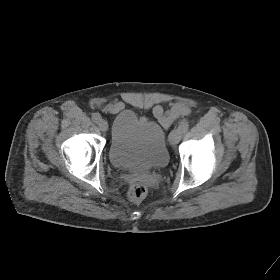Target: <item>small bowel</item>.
I'll use <instances>...</instances> for the list:
<instances>
[{"label":"small bowel","mask_w":280,"mask_h":280,"mask_svg":"<svg viewBox=\"0 0 280 280\" xmlns=\"http://www.w3.org/2000/svg\"><path fill=\"white\" fill-rule=\"evenodd\" d=\"M123 106V102L117 101L115 103L108 104L106 109L109 112L114 113L118 110H121ZM189 113L190 108L182 102L173 103L171 108L167 111H164L159 105L154 108V115L165 127H169L175 119L182 116H187Z\"/></svg>","instance_id":"1"}]
</instances>
